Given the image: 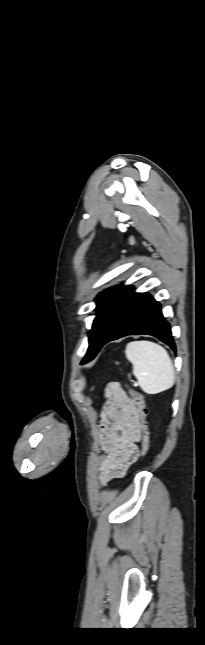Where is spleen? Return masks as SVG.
I'll return each instance as SVG.
<instances>
[{
  "instance_id": "1",
  "label": "spleen",
  "mask_w": 205,
  "mask_h": 645,
  "mask_svg": "<svg viewBox=\"0 0 205 645\" xmlns=\"http://www.w3.org/2000/svg\"><path fill=\"white\" fill-rule=\"evenodd\" d=\"M126 358L133 365V374L147 394H158L170 389L175 382L173 363L168 352L150 341L127 344Z\"/></svg>"
}]
</instances>
